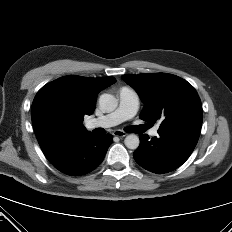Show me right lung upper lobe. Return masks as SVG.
Instances as JSON below:
<instances>
[{
	"label": "right lung upper lobe",
	"instance_id": "1",
	"mask_svg": "<svg viewBox=\"0 0 232 232\" xmlns=\"http://www.w3.org/2000/svg\"><path fill=\"white\" fill-rule=\"evenodd\" d=\"M115 82L113 77L71 75L44 85L32 104V123L40 147L55 138L89 133L82 124L84 116L93 113L98 93Z\"/></svg>",
	"mask_w": 232,
	"mask_h": 232
}]
</instances>
